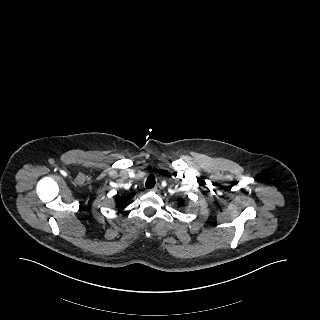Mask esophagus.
<instances>
[{"label": "esophagus", "mask_w": 320, "mask_h": 320, "mask_svg": "<svg viewBox=\"0 0 320 320\" xmlns=\"http://www.w3.org/2000/svg\"><path fill=\"white\" fill-rule=\"evenodd\" d=\"M160 189H161V186L158 184L154 188L150 189L149 191L153 193H158Z\"/></svg>", "instance_id": "1"}]
</instances>
